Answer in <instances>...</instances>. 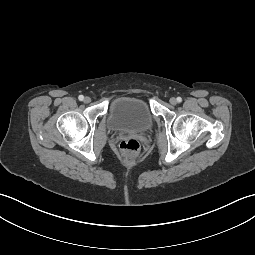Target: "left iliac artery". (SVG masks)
I'll list each match as a JSON object with an SVG mask.
<instances>
[{"label":"left iliac artery","mask_w":255,"mask_h":255,"mask_svg":"<svg viewBox=\"0 0 255 255\" xmlns=\"http://www.w3.org/2000/svg\"><path fill=\"white\" fill-rule=\"evenodd\" d=\"M182 101V98L181 97H177V102H181Z\"/></svg>","instance_id":"left-iliac-artery-1"}]
</instances>
